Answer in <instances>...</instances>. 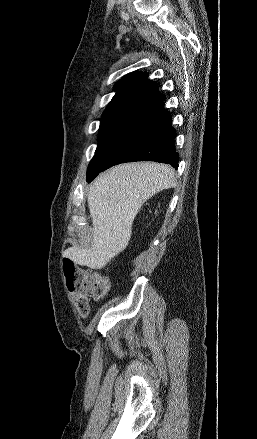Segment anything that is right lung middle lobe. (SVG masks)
Wrapping results in <instances>:
<instances>
[{
	"instance_id": "dd1d6c3e",
	"label": "right lung middle lobe",
	"mask_w": 257,
	"mask_h": 439,
	"mask_svg": "<svg viewBox=\"0 0 257 439\" xmlns=\"http://www.w3.org/2000/svg\"><path fill=\"white\" fill-rule=\"evenodd\" d=\"M126 122L124 119L104 118L101 119L99 129V144L96 153L110 140L116 131Z\"/></svg>"
}]
</instances>
